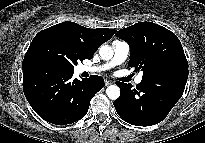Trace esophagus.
<instances>
[{
  "instance_id": "1",
  "label": "esophagus",
  "mask_w": 205,
  "mask_h": 143,
  "mask_svg": "<svg viewBox=\"0 0 205 143\" xmlns=\"http://www.w3.org/2000/svg\"><path fill=\"white\" fill-rule=\"evenodd\" d=\"M113 82L111 80H105V85L108 86L110 84H112Z\"/></svg>"
}]
</instances>
